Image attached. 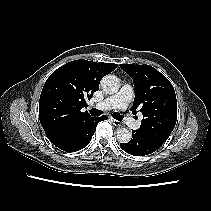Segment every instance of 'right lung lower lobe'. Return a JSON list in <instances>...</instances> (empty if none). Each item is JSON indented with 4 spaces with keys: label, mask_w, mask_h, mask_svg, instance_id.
Here are the masks:
<instances>
[{
    "label": "right lung lower lobe",
    "mask_w": 211,
    "mask_h": 211,
    "mask_svg": "<svg viewBox=\"0 0 211 211\" xmlns=\"http://www.w3.org/2000/svg\"><path fill=\"white\" fill-rule=\"evenodd\" d=\"M106 119L107 117L103 115L99 118L93 117L84 121L73 128L62 138V140L54 145L66 152L79 151L89 144L93 134L95 133L97 124Z\"/></svg>",
    "instance_id": "obj_1"
}]
</instances>
